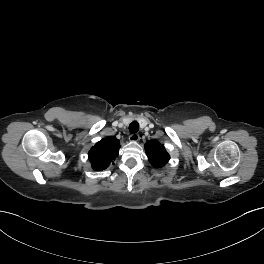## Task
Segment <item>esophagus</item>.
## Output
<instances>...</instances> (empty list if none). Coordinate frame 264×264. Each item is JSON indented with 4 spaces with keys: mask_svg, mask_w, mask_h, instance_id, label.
Instances as JSON below:
<instances>
[{
    "mask_svg": "<svg viewBox=\"0 0 264 264\" xmlns=\"http://www.w3.org/2000/svg\"><path fill=\"white\" fill-rule=\"evenodd\" d=\"M139 139H140V136H139V134H137V133L131 134V135L129 136V140H130L131 142H137Z\"/></svg>",
    "mask_w": 264,
    "mask_h": 264,
    "instance_id": "34e87169",
    "label": "esophagus"
}]
</instances>
